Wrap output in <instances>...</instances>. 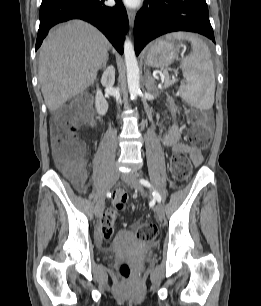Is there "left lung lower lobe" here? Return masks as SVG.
<instances>
[{
    "label": "left lung lower lobe",
    "mask_w": 261,
    "mask_h": 306,
    "mask_svg": "<svg viewBox=\"0 0 261 306\" xmlns=\"http://www.w3.org/2000/svg\"><path fill=\"white\" fill-rule=\"evenodd\" d=\"M176 31L197 32L215 42L205 0L145 1L134 23L136 55L151 40Z\"/></svg>",
    "instance_id": "obj_1"
}]
</instances>
